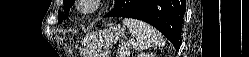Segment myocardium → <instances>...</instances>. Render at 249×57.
<instances>
[{"label":"myocardium","mask_w":249,"mask_h":57,"mask_svg":"<svg viewBox=\"0 0 249 57\" xmlns=\"http://www.w3.org/2000/svg\"><path fill=\"white\" fill-rule=\"evenodd\" d=\"M103 1L101 0H77L76 9L80 14H93L100 9Z\"/></svg>","instance_id":"1"}]
</instances>
